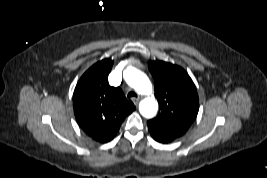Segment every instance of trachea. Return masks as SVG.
I'll use <instances>...</instances> for the list:
<instances>
[{
    "instance_id": "3493384b",
    "label": "trachea",
    "mask_w": 267,
    "mask_h": 178,
    "mask_svg": "<svg viewBox=\"0 0 267 178\" xmlns=\"http://www.w3.org/2000/svg\"><path fill=\"white\" fill-rule=\"evenodd\" d=\"M128 98H131V97H137V94L133 91L129 92L128 95H127Z\"/></svg>"
}]
</instances>
